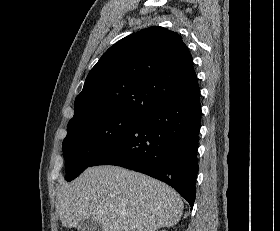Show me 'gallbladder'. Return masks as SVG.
Masks as SVG:
<instances>
[{"instance_id":"gallbladder-1","label":"gallbladder","mask_w":280,"mask_h":231,"mask_svg":"<svg viewBox=\"0 0 280 231\" xmlns=\"http://www.w3.org/2000/svg\"><path fill=\"white\" fill-rule=\"evenodd\" d=\"M78 231H100L101 223L100 221H95L93 217H88V219H83L77 223Z\"/></svg>"}]
</instances>
